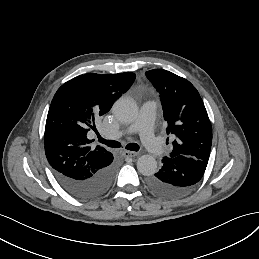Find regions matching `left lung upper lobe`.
<instances>
[{
    "instance_id": "1",
    "label": "left lung upper lobe",
    "mask_w": 259,
    "mask_h": 259,
    "mask_svg": "<svg viewBox=\"0 0 259 259\" xmlns=\"http://www.w3.org/2000/svg\"><path fill=\"white\" fill-rule=\"evenodd\" d=\"M147 78L160 93L167 134H174L170 157L184 155L208 162L212 126L197 89L186 79L166 71H147Z\"/></svg>"
}]
</instances>
